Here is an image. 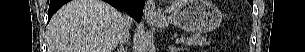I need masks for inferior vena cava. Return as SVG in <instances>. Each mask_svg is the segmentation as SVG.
<instances>
[{
    "label": "inferior vena cava",
    "mask_w": 305,
    "mask_h": 52,
    "mask_svg": "<svg viewBox=\"0 0 305 52\" xmlns=\"http://www.w3.org/2000/svg\"><path fill=\"white\" fill-rule=\"evenodd\" d=\"M128 21H129V19H128ZM129 24H130V22H129ZM129 26L127 27V29L125 30V32L123 33V35H122V37H121V39H120V42H126V41H128V39H129Z\"/></svg>",
    "instance_id": "obj_1"
}]
</instances>
